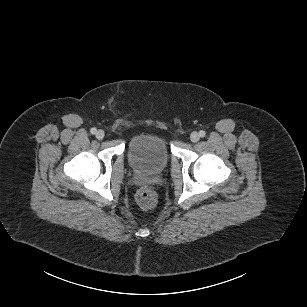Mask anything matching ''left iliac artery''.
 Here are the masks:
<instances>
[{
    "instance_id": "obj_1",
    "label": "left iliac artery",
    "mask_w": 307,
    "mask_h": 307,
    "mask_svg": "<svg viewBox=\"0 0 307 307\" xmlns=\"http://www.w3.org/2000/svg\"><path fill=\"white\" fill-rule=\"evenodd\" d=\"M199 135H200V137H204V136L206 135V133H205V131L201 130V131L199 132Z\"/></svg>"
}]
</instances>
